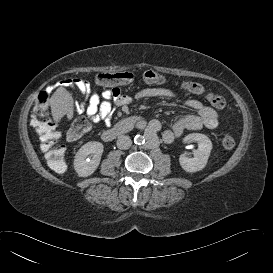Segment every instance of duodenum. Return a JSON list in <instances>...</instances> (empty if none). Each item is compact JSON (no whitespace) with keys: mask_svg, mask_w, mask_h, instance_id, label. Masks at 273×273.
Segmentation results:
<instances>
[{"mask_svg":"<svg viewBox=\"0 0 273 273\" xmlns=\"http://www.w3.org/2000/svg\"><path fill=\"white\" fill-rule=\"evenodd\" d=\"M141 121L137 117L124 118L114 124L111 128L105 130L102 133V139L105 142L113 141L114 139L130 132L134 129L136 124Z\"/></svg>","mask_w":273,"mask_h":273,"instance_id":"1","label":"duodenum"}]
</instances>
